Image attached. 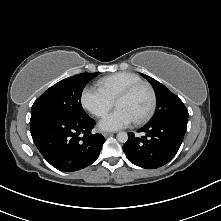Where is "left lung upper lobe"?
<instances>
[{"label": "left lung upper lobe", "instance_id": "1", "mask_svg": "<svg viewBox=\"0 0 221 221\" xmlns=\"http://www.w3.org/2000/svg\"><path fill=\"white\" fill-rule=\"evenodd\" d=\"M153 86L157 99L156 112L149 123H157L169 118L186 117L188 111L178 96L152 77L142 74Z\"/></svg>", "mask_w": 221, "mask_h": 221}]
</instances>
